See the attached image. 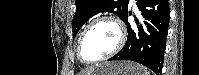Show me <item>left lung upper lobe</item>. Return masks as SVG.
Returning <instances> with one entry per match:
<instances>
[{
  "instance_id": "1",
  "label": "left lung upper lobe",
  "mask_w": 199,
  "mask_h": 75,
  "mask_svg": "<svg viewBox=\"0 0 199 75\" xmlns=\"http://www.w3.org/2000/svg\"><path fill=\"white\" fill-rule=\"evenodd\" d=\"M128 4L129 0H76V12L72 21L73 37L99 12H112L123 20L128 12Z\"/></svg>"
}]
</instances>
